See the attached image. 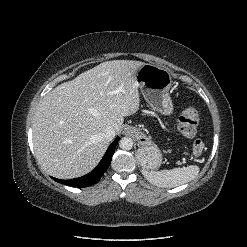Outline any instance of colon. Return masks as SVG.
Wrapping results in <instances>:
<instances>
[{
    "label": "colon",
    "instance_id": "5ec220e1",
    "mask_svg": "<svg viewBox=\"0 0 247 247\" xmlns=\"http://www.w3.org/2000/svg\"><path fill=\"white\" fill-rule=\"evenodd\" d=\"M199 114L194 105L187 106L179 118V131L185 137H193L198 129ZM195 155H200L205 150V143L201 139H196L192 146Z\"/></svg>",
    "mask_w": 247,
    "mask_h": 247
}]
</instances>
